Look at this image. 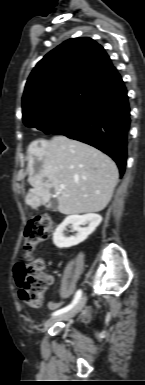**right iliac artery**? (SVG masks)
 I'll return each mask as SVG.
<instances>
[{"mask_svg": "<svg viewBox=\"0 0 145 385\" xmlns=\"http://www.w3.org/2000/svg\"><path fill=\"white\" fill-rule=\"evenodd\" d=\"M81 296H82V291L78 290L76 292V294L74 296V299H73L71 304H69L68 306H66V307H64L62 309H59V310L55 311L52 315L53 316H57V315L63 314L65 312L71 310L78 303V301L80 300Z\"/></svg>", "mask_w": 145, "mask_h": 385, "instance_id": "obj_1", "label": "right iliac artery"}]
</instances>
